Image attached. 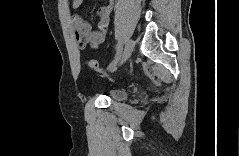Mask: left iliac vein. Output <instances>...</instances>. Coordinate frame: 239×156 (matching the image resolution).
Segmentation results:
<instances>
[{
  "mask_svg": "<svg viewBox=\"0 0 239 156\" xmlns=\"http://www.w3.org/2000/svg\"><path fill=\"white\" fill-rule=\"evenodd\" d=\"M134 46H135V42L132 39L128 40V42L124 48L122 57L120 59L119 65H122L131 56V54L134 50ZM116 69H117V66L115 65L114 67L110 68V71L113 72Z\"/></svg>",
  "mask_w": 239,
  "mask_h": 156,
  "instance_id": "obj_1",
  "label": "left iliac vein"
}]
</instances>
